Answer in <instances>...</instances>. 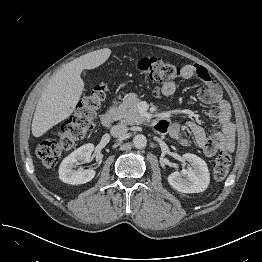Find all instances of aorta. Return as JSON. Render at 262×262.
<instances>
[{"instance_id":"obj_1","label":"aorta","mask_w":262,"mask_h":262,"mask_svg":"<svg viewBox=\"0 0 262 262\" xmlns=\"http://www.w3.org/2000/svg\"><path fill=\"white\" fill-rule=\"evenodd\" d=\"M133 145L137 149H143L147 145V139L143 134H137L133 138Z\"/></svg>"}]
</instances>
